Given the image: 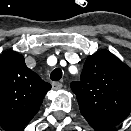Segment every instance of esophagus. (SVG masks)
I'll return each instance as SVG.
<instances>
[{
    "label": "esophagus",
    "instance_id": "obj_1",
    "mask_svg": "<svg viewBox=\"0 0 131 131\" xmlns=\"http://www.w3.org/2000/svg\"><path fill=\"white\" fill-rule=\"evenodd\" d=\"M63 87V84L61 83V82H53L52 83V88L54 89V90H59V89H61Z\"/></svg>",
    "mask_w": 131,
    "mask_h": 131
}]
</instances>
